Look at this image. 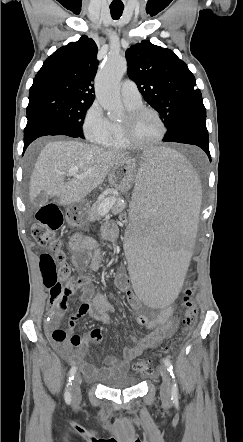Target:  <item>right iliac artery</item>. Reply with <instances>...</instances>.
<instances>
[{
    "label": "right iliac artery",
    "instance_id": "82829eb1",
    "mask_svg": "<svg viewBox=\"0 0 243 442\" xmlns=\"http://www.w3.org/2000/svg\"><path fill=\"white\" fill-rule=\"evenodd\" d=\"M76 370H77L76 366H73V367L70 369V372H69L68 383H67V385H66L65 393H64L65 402H66L67 404H70V403H71V400H72V396H71V392H70V390H71L70 387H71V385H72V380L74 379V376H75Z\"/></svg>",
    "mask_w": 243,
    "mask_h": 442
}]
</instances>
